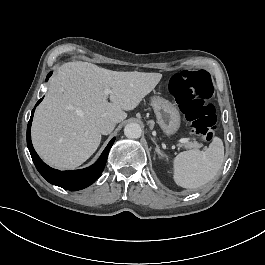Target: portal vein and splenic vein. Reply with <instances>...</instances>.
I'll list each match as a JSON object with an SVG mask.
<instances>
[{
  "instance_id": "18ae733b",
  "label": "portal vein and splenic vein",
  "mask_w": 265,
  "mask_h": 265,
  "mask_svg": "<svg viewBox=\"0 0 265 265\" xmlns=\"http://www.w3.org/2000/svg\"><path fill=\"white\" fill-rule=\"evenodd\" d=\"M179 141L182 143H188L189 139L188 138H180Z\"/></svg>"
}]
</instances>
